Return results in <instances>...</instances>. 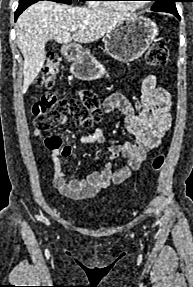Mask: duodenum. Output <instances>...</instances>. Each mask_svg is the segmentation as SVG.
<instances>
[{"label": "duodenum", "instance_id": "obj_1", "mask_svg": "<svg viewBox=\"0 0 193 287\" xmlns=\"http://www.w3.org/2000/svg\"><path fill=\"white\" fill-rule=\"evenodd\" d=\"M63 53H64V56H65V57H67V58H72V57H75V56H76L77 50L75 49L74 46L65 47Z\"/></svg>", "mask_w": 193, "mask_h": 287}]
</instances>
